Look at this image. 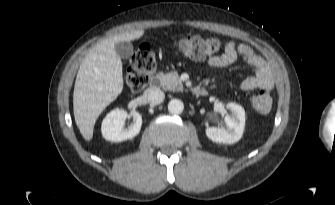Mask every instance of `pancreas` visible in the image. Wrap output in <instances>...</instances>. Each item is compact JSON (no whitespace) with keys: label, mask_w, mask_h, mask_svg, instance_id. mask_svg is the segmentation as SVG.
<instances>
[{"label":"pancreas","mask_w":335,"mask_h":205,"mask_svg":"<svg viewBox=\"0 0 335 205\" xmlns=\"http://www.w3.org/2000/svg\"><path fill=\"white\" fill-rule=\"evenodd\" d=\"M159 79L164 90L181 91L183 89L182 81L178 73H160Z\"/></svg>","instance_id":"pancreas-1"}]
</instances>
